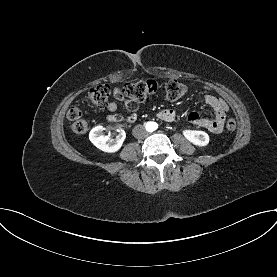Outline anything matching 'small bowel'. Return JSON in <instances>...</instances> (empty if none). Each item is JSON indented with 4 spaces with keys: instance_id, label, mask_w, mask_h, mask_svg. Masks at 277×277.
<instances>
[{
    "instance_id": "1",
    "label": "small bowel",
    "mask_w": 277,
    "mask_h": 277,
    "mask_svg": "<svg viewBox=\"0 0 277 277\" xmlns=\"http://www.w3.org/2000/svg\"><path fill=\"white\" fill-rule=\"evenodd\" d=\"M204 89L208 92L207 94H205L204 100L206 104L213 109L215 117L208 118L200 115L197 112H192L188 114L187 121L192 125L205 128L213 134H220L223 131L224 124L226 121V112L228 111V105L224 100L211 94L209 87H204ZM113 94L117 100L124 102L125 107L131 112V114L127 117H124L121 114L116 113L118 105L115 102H110L107 104V110L110 112V114H108L106 117L107 120L109 122H134L137 118L136 111L138 109V104L132 102L129 99H126L122 95L119 87L114 88ZM158 117L166 122L176 121V113L171 109H165L160 111Z\"/></svg>"
}]
</instances>
